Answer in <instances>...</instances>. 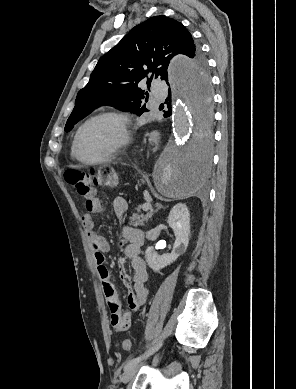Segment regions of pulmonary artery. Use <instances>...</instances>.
Masks as SVG:
<instances>
[{
    "label": "pulmonary artery",
    "instance_id": "e3ab8cb5",
    "mask_svg": "<svg viewBox=\"0 0 296 389\" xmlns=\"http://www.w3.org/2000/svg\"><path fill=\"white\" fill-rule=\"evenodd\" d=\"M152 92L156 98V100L160 101L165 98L166 89L162 84L155 83L152 85Z\"/></svg>",
    "mask_w": 296,
    "mask_h": 389
}]
</instances>
